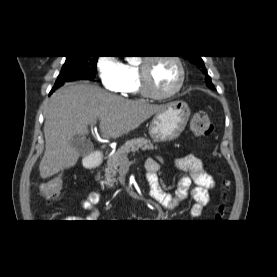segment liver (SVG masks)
Here are the masks:
<instances>
[{
	"label": "liver",
	"mask_w": 277,
	"mask_h": 277,
	"mask_svg": "<svg viewBox=\"0 0 277 277\" xmlns=\"http://www.w3.org/2000/svg\"><path fill=\"white\" fill-rule=\"evenodd\" d=\"M163 105L131 101L86 83H69L55 91L45 111V152L39 165L45 179L73 167L78 151L70 140L88 134V125L99 120L102 137L118 138L136 128Z\"/></svg>",
	"instance_id": "obj_1"
}]
</instances>
